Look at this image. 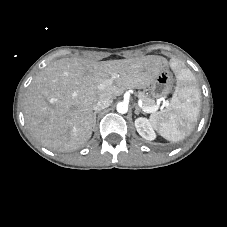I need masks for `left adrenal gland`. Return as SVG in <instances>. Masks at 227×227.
<instances>
[{
	"label": "left adrenal gland",
	"mask_w": 227,
	"mask_h": 227,
	"mask_svg": "<svg viewBox=\"0 0 227 227\" xmlns=\"http://www.w3.org/2000/svg\"><path fill=\"white\" fill-rule=\"evenodd\" d=\"M140 112H141L142 114H145L144 112H142V111L140 110V108H139L137 105H135V114L138 115Z\"/></svg>",
	"instance_id": "a2214340"
}]
</instances>
